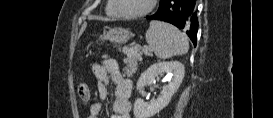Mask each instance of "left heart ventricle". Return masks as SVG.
<instances>
[{
  "label": "left heart ventricle",
  "instance_id": "b2bd125f",
  "mask_svg": "<svg viewBox=\"0 0 273 118\" xmlns=\"http://www.w3.org/2000/svg\"><path fill=\"white\" fill-rule=\"evenodd\" d=\"M150 0H120L121 8L127 13L143 11L149 5Z\"/></svg>",
  "mask_w": 273,
  "mask_h": 118
}]
</instances>
